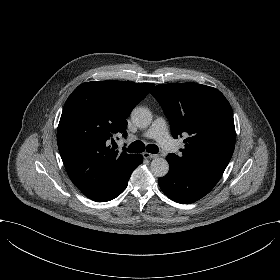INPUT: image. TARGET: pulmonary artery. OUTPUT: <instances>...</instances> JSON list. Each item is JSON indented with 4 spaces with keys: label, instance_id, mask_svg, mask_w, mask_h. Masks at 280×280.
<instances>
[{
    "label": "pulmonary artery",
    "instance_id": "pulmonary-artery-1",
    "mask_svg": "<svg viewBox=\"0 0 280 280\" xmlns=\"http://www.w3.org/2000/svg\"><path fill=\"white\" fill-rule=\"evenodd\" d=\"M144 136L155 139L167 152L180 153V145L176 140L169 136L167 122L163 117H157L147 132H145Z\"/></svg>",
    "mask_w": 280,
    "mask_h": 280
}]
</instances>
